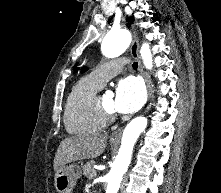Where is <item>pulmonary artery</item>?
I'll return each instance as SVG.
<instances>
[{
    "label": "pulmonary artery",
    "mask_w": 221,
    "mask_h": 193,
    "mask_svg": "<svg viewBox=\"0 0 221 193\" xmlns=\"http://www.w3.org/2000/svg\"><path fill=\"white\" fill-rule=\"evenodd\" d=\"M128 59L120 58L106 63L103 66L95 68L90 77L99 85L103 86L104 83L110 78L114 77L121 72L123 67L127 64Z\"/></svg>",
    "instance_id": "1"
}]
</instances>
